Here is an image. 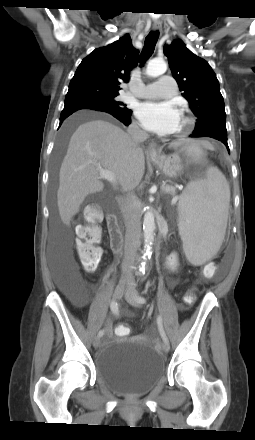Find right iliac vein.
<instances>
[{"mask_svg":"<svg viewBox=\"0 0 255 440\" xmlns=\"http://www.w3.org/2000/svg\"><path fill=\"white\" fill-rule=\"evenodd\" d=\"M125 290H126L125 283H123V282L119 283L115 287V290H114V293H113V299L114 300H119L122 297V295H123ZM99 344H100V338L97 336L93 340V346L95 348H97L99 346Z\"/></svg>","mask_w":255,"mask_h":440,"instance_id":"63e3f726","label":"right iliac vein"}]
</instances>
